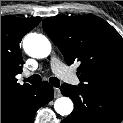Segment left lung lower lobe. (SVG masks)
<instances>
[{"mask_svg":"<svg viewBox=\"0 0 123 123\" xmlns=\"http://www.w3.org/2000/svg\"><path fill=\"white\" fill-rule=\"evenodd\" d=\"M60 89L74 102L73 112L61 123H120L123 119V99L69 84Z\"/></svg>","mask_w":123,"mask_h":123,"instance_id":"0a47b994","label":"left lung lower lobe"}]
</instances>
